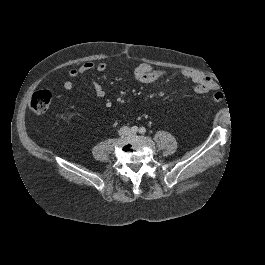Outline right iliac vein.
Listing matches in <instances>:
<instances>
[{"instance_id":"obj_1","label":"right iliac vein","mask_w":265,"mask_h":265,"mask_svg":"<svg viewBox=\"0 0 265 265\" xmlns=\"http://www.w3.org/2000/svg\"><path fill=\"white\" fill-rule=\"evenodd\" d=\"M119 135L123 136V135H129V131L127 129H121L119 131Z\"/></svg>"}]
</instances>
